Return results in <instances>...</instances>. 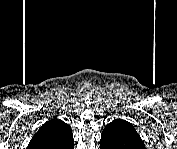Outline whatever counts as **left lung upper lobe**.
<instances>
[{"label":"left lung upper lobe","instance_id":"5c2ea615","mask_svg":"<svg viewBox=\"0 0 177 149\" xmlns=\"http://www.w3.org/2000/svg\"><path fill=\"white\" fill-rule=\"evenodd\" d=\"M100 146L105 149H143L145 147L133 125L121 119L113 120L104 128Z\"/></svg>","mask_w":177,"mask_h":149}]
</instances>
